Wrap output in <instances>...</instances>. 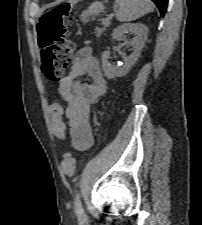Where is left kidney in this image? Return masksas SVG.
<instances>
[{"mask_svg":"<svg viewBox=\"0 0 202 225\" xmlns=\"http://www.w3.org/2000/svg\"><path fill=\"white\" fill-rule=\"evenodd\" d=\"M128 33L135 35L132 40L127 41V43L133 47V52L128 57H124L121 65H110L109 51H104L102 54V68L108 79L126 75L137 62L147 39L148 27L141 23L122 24L114 29L112 37L114 40L120 41L125 39V34Z\"/></svg>","mask_w":202,"mask_h":225,"instance_id":"5707ae66","label":"left kidney"}]
</instances>
